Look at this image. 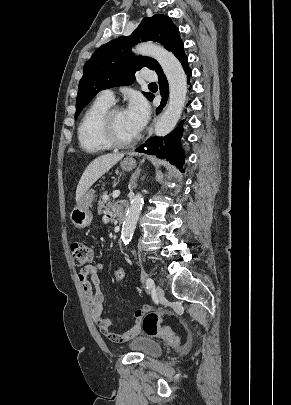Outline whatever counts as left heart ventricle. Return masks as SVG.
Masks as SVG:
<instances>
[{
	"label": "left heart ventricle",
	"instance_id": "1",
	"mask_svg": "<svg viewBox=\"0 0 291 405\" xmlns=\"http://www.w3.org/2000/svg\"><path fill=\"white\" fill-rule=\"evenodd\" d=\"M113 126L116 136L124 141L131 140L138 134L130 124L125 110L114 116Z\"/></svg>",
	"mask_w": 291,
	"mask_h": 405
}]
</instances>
